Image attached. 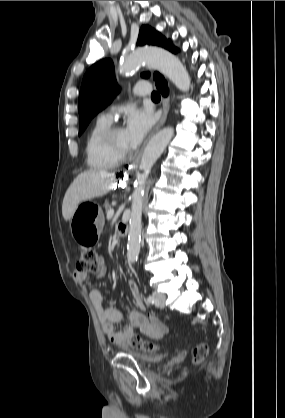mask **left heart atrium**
<instances>
[{
	"label": "left heart atrium",
	"mask_w": 285,
	"mask_h": 418,
	"mask_svg": "<svg viewBox=\"0 0 285 418\" xmlns=\"http://www.w3.org/2000/svg\"><path fill=\"white\" fill-rule=\"evenodd\" d=\"M153 115L149 110L132 108L126 117L125 131L129 145L137 146L141 143L153 125Z\"/></svg>",
	"instance_id": "obj_1"
}]
</instances>
